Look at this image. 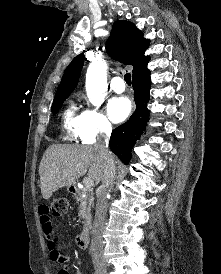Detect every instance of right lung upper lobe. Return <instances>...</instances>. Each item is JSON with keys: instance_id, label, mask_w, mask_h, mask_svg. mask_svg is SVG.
I'll use <instances>...</instances> for the list:
<instances>
[{"instance_id": "1", "label": "right lung upper lobe", "mask_w": 221, "mask_h": 274, "mask_svg": "<svg viewBox=\"0 0 221 274\" xmlns=\"http://www.w3.org/2000/svg\"><path fill=\"white\" fill-rule=\"evenodd\" d=\"M148 46L149 40L143 38V34L133 23L119 20L113 24L111 35L106 43V50L111 57L124 64L132 65V77H135L148 71L147 64L150 61V57L144 55ZM84 60V55L79 54L69 64L55 97L70 95L75 89Z\"/></svg>"}]
</instances>
